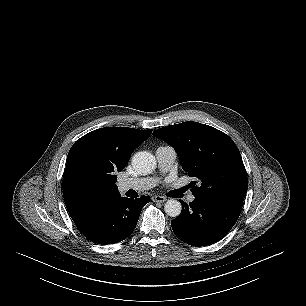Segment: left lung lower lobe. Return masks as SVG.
Here are the masks:
<instances>
[{
    "instance_id": "0a47b994",
    "label": "left lung lower lobe",
    "mask_w": 306,
    "mask_h": 306,
    "mask_svg": "<svg viewBox=\"0 0 306 306\" xmlns=\"http://www.w3.org/2000/svg\"><path fill=\"white\" fill-rule=\"evenodd\" d=\"M182 212L171 221L175 235L193 246L218 242L236 223L242 202L229 199L195 198L189 205L181 201Z\"/></svg>"
}]
</instances>
